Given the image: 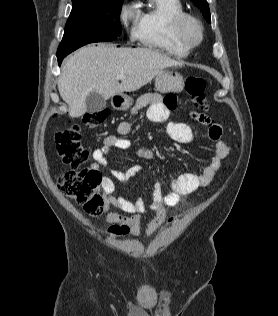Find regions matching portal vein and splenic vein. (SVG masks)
Wrapping results in <instances>:
<instances>
[{
  "mask_svg": "<svg viewBox=\"0 0 278 316\" xmlns=\"http://www.w3.org/2000/svg\"><path fill=\"white\" fill-rule=\"evenodd\" d=\"M126 78V76H124V75H118L117 76V79H125Z\"/></svg>",
  "mask_w": 278,
  "mask_h": 316,
  "instance_id": "portal-vein-and-splenic-vein-1",
  "label": "portal vein and splenic vein"
}]
</instances>
